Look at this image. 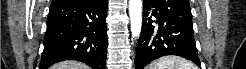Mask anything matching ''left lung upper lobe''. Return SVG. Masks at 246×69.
<instances>
[{
  "label": "left lung upper lobe",
  "instance_id": "5c2ea615",
  "mask_svg": "<svg viewBox=\"0 0 246 69\" xmlns=\"http://www.w3.org/2000/svg\"><path fill=\"white\" fill-rule=\"evenodd\" d=\"M162 12L173 18L192 23V14L188 0H153Z\"/></svg>",
  "mask_w": 246,
  "mask_h": 69
}]
</instances>
